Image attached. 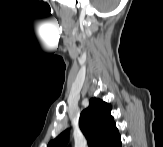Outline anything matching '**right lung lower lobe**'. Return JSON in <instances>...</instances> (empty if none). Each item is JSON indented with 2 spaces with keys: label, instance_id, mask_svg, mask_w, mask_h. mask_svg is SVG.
Here are the masks:
<instances>
[{
  "label": "right lung lower lobe",
  "instance_id": "right-lung-lower-lobe-1",
  "mask_svg": "<svg viewBox=\"0 0 163 147\" xmlns=\"http://www.w3.org/2000/svg\"><path fill=\"white\" fill-rule=\"evenodd\" d=\"M110 147H121V137H119Z\"/></svg>",
  "mask_w": 163,
  "mask_h": 147
}]
</instances>
